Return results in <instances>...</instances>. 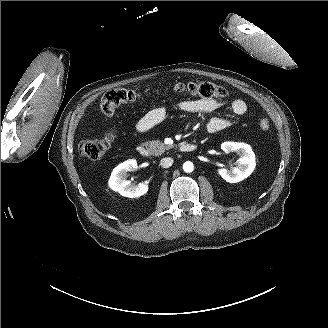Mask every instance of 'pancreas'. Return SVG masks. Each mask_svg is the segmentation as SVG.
<instances>
[{
	"label": "pancreas",
	"mask_w": 328,
	"mask_h": 328,
	"mask_svg": "<svg viewBox=\"0 0 328 328\" xmlns=\"http://www.w3.org/2000/svg\"><path fill=\"white\" fill-rule=\"evenodd\" d=\"M146 145L149 147L150 151L155 153L156 155H161L166 150L172 148V146H166L165 143L158 140L149 141L146 143Z\"/></svg>",
	"instance_id": "obj_1"
}]
</instances>
